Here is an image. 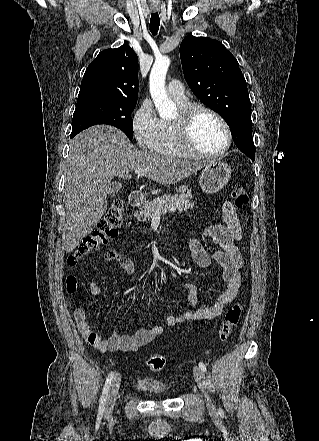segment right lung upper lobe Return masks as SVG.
Instances as JSON below:
<instances>
[{
    "label": "right lung upper lobe",
    "mask_w": 319,
    "mask_h": 441,
    "mask_svg": "<svg viewBox=\"0 0 319 441\" xmlns=\"http://www.w3.org/2000/svg\"><path fill=\"white\" fill-rule=\"evenodd\" d=\"M138 57L129 45L106 49L85 71L78 99H112L136 102Z\"/></svg>",
    "instance_id": "obj_1"
}]
</instances>
